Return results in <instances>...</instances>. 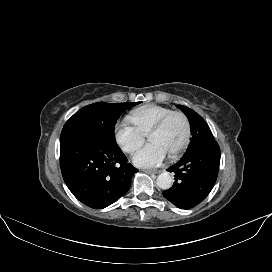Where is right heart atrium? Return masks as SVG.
I'll use <instances>...</instances> for the list:
<instances>
[{"instance_id":"obj_1","label":"right heart atrium","mask_w":272,"mask_h":272,"mask_svg":"<svg viewBox=\"0 0 272 272\" xmlns=\"http://www.w3.org/2000/svg\"><path fill=\"white\" fill-rule=\"evenodd\" d=\"M115 138L123 151L135 152L144 142L145 135L129 120L117 121L114 128Z\"/></svg>"}]
</instances>
